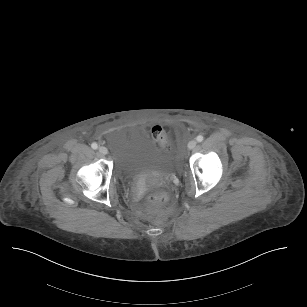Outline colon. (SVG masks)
I'll use <instances>...</instances> for the list:
<instances>
[{"instance_id":"5ec220e1","label":"colon","mask_w":307,"mask_h":307,"mask_svg":"<svg viewBox=\"0 0 307 307\" xmlns=\"http://www.w3.org/2000/svg\"><path fill=\"white\" fill-rule=\"evenodd\" d=\"M152 136L157 140L164 150H169L171 148V143L169 139L164 134L161 126L156 125L151 130ZM146 201L150 205L164 206L169 201V195L164 190H150L146 194Z\"/></svg>"}]
</instances>
